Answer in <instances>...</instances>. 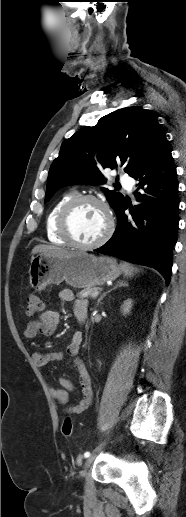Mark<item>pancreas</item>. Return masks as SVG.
<instances>
[{"mask_svg": "<svg viewBox=\"0 0 186 517\" xmlns=\"http://www.w3.org/2000/svg\"><path fill=\"white\" fill-rule=\"evenodd\" d=\"M95 291H98V288L96 287H90V288H85L83 290H81L80 292L77 293V297H92L93 293Z\"/></svg>", "mask_w": 186, "mask_h": 517, "instance_id": "obj_1", "label": "pancreas"}]
</instances>
